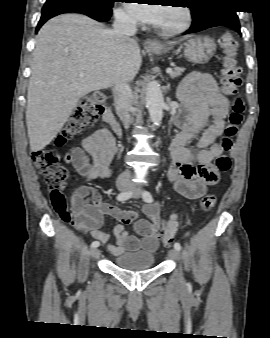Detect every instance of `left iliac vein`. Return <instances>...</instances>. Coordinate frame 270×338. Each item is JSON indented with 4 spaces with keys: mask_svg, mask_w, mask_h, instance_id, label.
I'll return each instance as SVG.
<instances>
[{
    "mask_svg": "<svg viewBox=\"0 0 270 338\" xmlns=\"http://www.w3.org/2000/svg\"><path fill=\"white\" fill-rule=\"evenodd\" d=\"M130 189L133 191L135 198L139 197L142 193L140 188H138L136 185H131ZM168 257L173 260H179V253L176 249H170L168 251Z\"/></svg>",
    "mask_w": 270,
    "mask_h": 338,
    "instance_id": "obj_1",
    "label": "left iliac vein"
}]
</instances>
